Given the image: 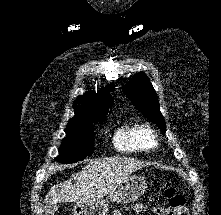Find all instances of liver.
Wrapping results in <instances>:
<instances>
[{
    "label": "liver",
    "mask_w": 221,
    "mask_h": 215,
    "mask_svg": "<svg viewBox=\"0 0 221 215\" xmlns=\"http://www.w3.org/2000/svg\"><path fill=\"white\" fill-rule=\"evenodd\" d=\"M148 163L126 157H105L93 160L71 180L53 186L45 198L46 204L58 202L94 203L114 190L132 172Z\"/></svg>",
    "instance_id": "1"
}]
</instances>
